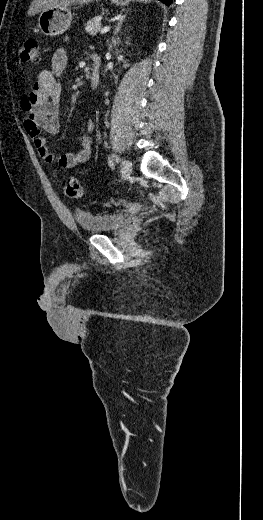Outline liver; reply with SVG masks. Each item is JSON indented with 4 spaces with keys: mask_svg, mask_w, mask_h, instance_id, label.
<instances>
[{
    "mask_svg": "<svg viewBox=\"0 0 263 520\" xmlns=\"http://www.w3.org/2000/svg\"><path fill=\"white\" fill-rule=\"evenodd\" d=\"M93 1L98 0H33L29 7L28 15L34 16L52 7H69L77 4H88Z\"/></svg>",
    "mask_w": 263,
    "mask_h": 520,
    "instance_id": "1",
    "label": "liver"
}]
</instances>
